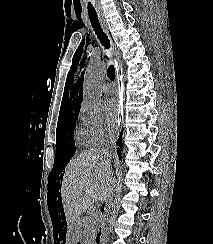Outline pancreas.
I'll return each instance as SVG.
<instances>
[{
	"instance_id": "obj_1",
	"label": "pancreas",
	"mask_w": 213,
	"mask_h": 244,
	"mask_svg": "<svg viewBox=\"0 0 213 244\" xmlns=\"http://www.w3.org/2000/svg\"><path fill=\"white\" fill-rule=\"evenodd\" d=\"M88 223V222H86ZM96 221H92V224L85 225L83 227V235L86 239H93L94 235L97 232V228L95 227Z\"/></svg>"
}]
</instances>
